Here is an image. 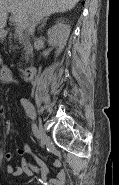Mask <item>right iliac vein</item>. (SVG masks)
I'll return each mask as SVG.
<instances>
[{
    "label": "right iliac vein",
    "instance_id": "obj_1",
    "mask_svg": "<svg viewBox=\"0 0 119 185\" xmlns=\"http://www.w3.org/2000/svg\"><path fill=\"white\" fill-rule=\"evenodd\" d=\"M34 113H36V112H34ZM36 115H37V113H36ZM34 119L37 120L38 117L34 118ZM36 127H37L39 135H40L41 143L43 145H45L48 141V135L46 134L44 128L40 125V123H38V125Z\"/></svg>",
    "mask_w": 119,
    "mask_h": 185
}]
</instances>
